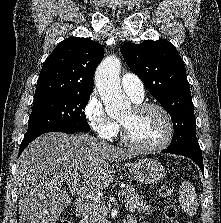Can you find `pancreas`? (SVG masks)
<instances>
[{
    "label": "pancreas",
    "instance_id": "1",
    "mask_svg": "<svg viewBox=\"0 0 221 223\" xmlns=\"http://www.w3.org/2000/svg\"><path fill=\"white\" fill-rule=\"evenodd\" d=\"M123 191L125 192V207L130 212H146L148 215L152 213L151 205L143 201V196L139 195L132 186H126ZM107 214L108 210L104 203L100 205L91 203L89 211L85 214L81 223H107Z\"/></svg>",
    "mask_w": 221,
    "mask_h": 223
}]
</instances>
